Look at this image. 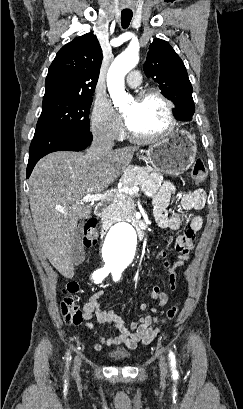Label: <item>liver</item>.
Instances as JSON below:
<instances>
[{
    "instance_id": "obj_1",
    "label": "liver",
    "mask_w": 243,
    "mask_h": 409,
    "mask_svg": "<svg viewBox=\"0 0 243 409\" xmlns=\"http://www.w3.org/2000/svg\"><path fill=\"white\" fill-rule=\"evenodd\" d=\"M137 150L123 147L92 161L84 153L58 151L34 167L28 185L35 230L45 256L64 277L74 276L71 245L78 220L91 215V206L80 200L113 184Z\"/></svg>"
}]
</instances>
